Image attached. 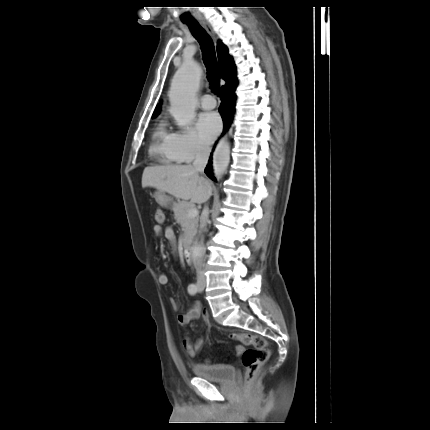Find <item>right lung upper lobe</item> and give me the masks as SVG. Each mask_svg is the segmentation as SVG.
<instances>
[{
  "mask_svg": "<svg viewBox=\"0 0 430 430\" xmlns=\"http://www.w3.org/2000/svg\"><path fill=\"white\" fill-rule=\"evenodd\" d=\"M218 62L221 68V77L226 81V84L221 87V91L227 87L236 85V68L232 58L229 56L227 47L221 42L217 46ZM160 111V104L157 105L153 116L157 115Z\"/></svg>",
  "mask_w": 430,
  "mask_h": 430,
  "instance_id": "1",
  "label": "right lung upper lobe"
}]
</instances>
